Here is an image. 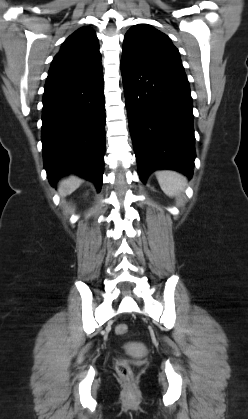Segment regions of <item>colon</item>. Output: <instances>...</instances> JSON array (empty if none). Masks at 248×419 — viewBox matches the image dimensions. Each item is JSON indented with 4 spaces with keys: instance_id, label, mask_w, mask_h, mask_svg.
<instances>
[{
    "instance_id": "5ec220e1",
    "label": "colon",
    "mask_w": 248,
    "mask_h": 419,
    "mask_svg": "<svg viewBox=\"0 0 248 419\" xmlns=\"http://www.w3.org/2000/svg\"><path fill=\"white\" fill-rule=\"evenodd\" d=\"M128 327L126 324H119L116 327V333L118 335H124L127 333ZM115 369L118 375L127 380L128 382H131L133 379V374L131 367L129 366L128 362L123 358H118L115 362Z\"/></svg>"
}]
</instances>
